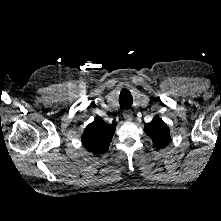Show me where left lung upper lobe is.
<instances>
[{
	"mask_svg": "<svg viewBox=\"0 0 221 221\" xmlns=\"http://www.w3.org/2000/svg\"><path fill=\"white\" fill-rule=\"evenodd\" d=\"M144 131L159 148L165 147L171 141L169 128L158 116L145 125Z\"/></svg>",
	"mask_w": 221,
	"mask_h": 221,
	"instance_id": "5c2ea615",
	"label": "left lung upper lobe"
}]
</instances>
